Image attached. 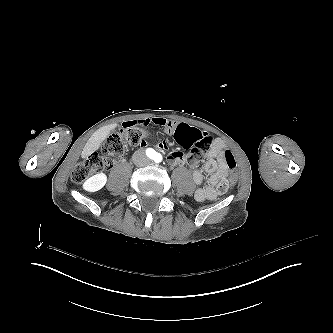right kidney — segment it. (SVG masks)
Masks as SVG:
<instances>
[{"instance_id":"ca27d5eb","label":"right kidney","mask_w":333,"mask_h":333,"mask_svg":"<svg viewBox=\"0 0 333 333\" xmlns=\"http://www.w3.org/2000/svg\"><path fill=\"white\" fill-rule=\"evenodd\" d=\"M106 182L107 176L104 173H99L87 179L83 184V189L88 192H95L102 189Z\"/></svg>"}]
</instances>
